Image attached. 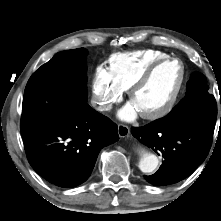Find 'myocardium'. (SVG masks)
<instances>
[{"instance_id":"1","label":"myocardium","mask_w":221,"mask_h":221,"mask_svg":"<svg viewBox=\"0 0 221 221\" xmlns=\"http://www.w3.org/2000/svg\"><path fill=\"white\" fill-rule=\"evenodd\" d=\"M170 62H178L181 66V79L180 82L174 92V94L172 95V97L170 98V100L161 108H159L158 110L152 111V112H144V113H140L141 117L146 119V120H150V121H155L158 119H161L165 116H167L176 106V104L178 103L186 82H187V68L185 63L176 57H165L162 59H159L157 61H155L154 63H152L143 73L142 75L128 88V97L130 100H132L134 94L141 89L144 85H146L148 83V81L151 79V77L153 76V74L155 73V71Z\"/></svg>"}]
</instances>
